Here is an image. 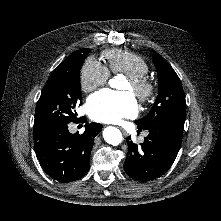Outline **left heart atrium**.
Listing matches in <instances>:
<instances>
[{"label":"left heart atrium","mask_w":221,"mask_h":221,"mask_svg":"<svg viewBox=\"0 0 221 221\" xmlns=\"http://www.w3.org/2000/svg\"><path fill=\"white\" fill-rule=\"evenodd\" d=\"M86 110L95 121L116 123L122 118L134 116L137 102L131 92L103 89L88 98Z\"/></svg>","instance_id":"1"}]
</instances>
